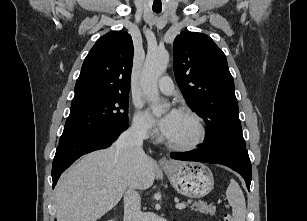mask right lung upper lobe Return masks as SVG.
Instances as JSON below:
<instances>
[{
	"mask_svg": "<svg viewBox=\"0 0 307 221\" xmlns=\"http://www.w3.org/2000/svg\"><path fill=\"white\" fill-rule=\"evenodd\" d=\"M133 42L124 31L103 35L86 56L72 102L130 90Z\"/></svg>",
	"mask_w": 307,
	"mask_h": 221,
	"instance_id": "obj_1",
	"label": "right lung upper lobe"
}]
</instances>
